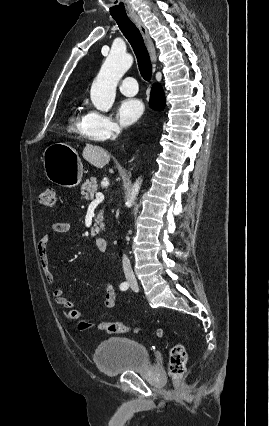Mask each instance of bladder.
<instances>
[{
	"label": "bladder",
	"instance_id": "obj_1",
	"mask_svg": "<svg viewBox=\"0 0 269 426\" xmlns=\"http://www.w3.org/2000/svg\"><path fill=\"white\" fill-rule=\"evenodd\" d=\"M93 361L108 376L145 369L150 363L146 347L125 337L102 341L94 350Z\"/></svg>",
	"mask_w": 269,
	"mask_h": 426
}]
</instances>
